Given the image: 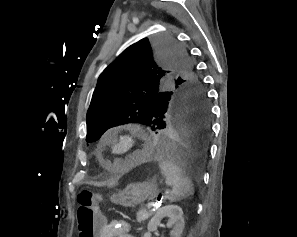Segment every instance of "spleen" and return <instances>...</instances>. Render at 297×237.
Here are the masks:
<instances>
[{
    "label": "spleen",
    "mask_w": 297,
    "mask_h": 237,
    "mask_svg": "<svg viewBox=\"0 0 297 237\" xmlns=\"http://www.w3.org/2000/svg\"><path fill=\"white\" fill-rule=\"evenodd\" d=\"M159 167L165 177L166 184L172 187L168 196L170 202H175L193 195V184L182 168L178 167V164L172 160L161 159L159 161Z\"/></svg>",
    "instance_id": "spleen-1"
}]
</instances>
